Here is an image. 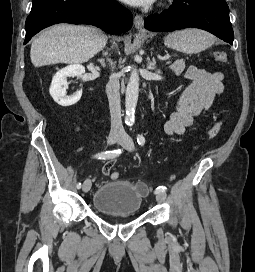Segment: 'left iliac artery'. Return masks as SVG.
I'll return each instance as SVG.
<instances>
[{"instance_id": "obj_1", "label": "left iliac artery", "mask_w": 255, "mask_h": 272, "mask_svg": "<svg viewBox=\"0 0 255 272\" xmlns=\"http://www.w3.org/2000/svg\"><path fill=\"white\" fill-rule=\"evenodd\" d=\"M137 142L139 145H144L145 143V138L142 134H138L137 135ZM167 190V187L166 186H159L156 188L155 190V194L158 193V192H165Z\"/></svg>"}]
</instances>
